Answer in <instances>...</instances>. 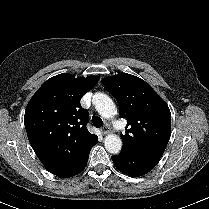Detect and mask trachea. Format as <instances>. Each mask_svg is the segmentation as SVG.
<instances>
[{"mask_svg": "<svg viewBox=\"0 0 209 209\" xmlns=\"http://www.w3.org/2000/svg\"><path fill=\"white\" fill-rule=\"evenodd\" d=\"M92 124L97 127L100 128L103 124L102 119L100 117L97 116H93L92 117Z\"/></svg>", "mask_w": 209, "mask_h": 209, "instance_id": "trachea-1", "label": "trachea"}]
</instances>
